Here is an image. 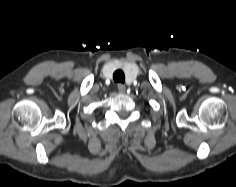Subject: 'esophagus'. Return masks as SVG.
Returning a JSON list of instances; mask_svg holds the SVG:
<instances>
[{
  "label": "esophagus",
  "instance_id": "34e87169",
  "mask_svg": "<svg viewBox=\"0 0 236 187\" xmlns=\"http://www.w3.org/2000/svg\"><path fill=\"white\" fill-rule=\"evenodd\" d=\"M117 88H118V91L120 92V93H125V91H126V87H125V85H123L122 83H119L118 85H117Z\"/></svg>",
  "mask_w": 236,
  "mask_h": 187
}]
</instances>
